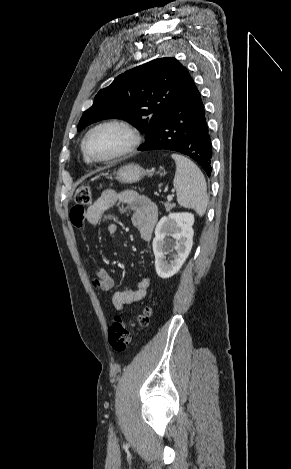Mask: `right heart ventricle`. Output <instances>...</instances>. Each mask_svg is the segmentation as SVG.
Instances as JSON below:
<instances>
[{"label":"right heart ventricle","instance_id":"1","mask_svg":"<svg viewBox=\"0 0 291 469\" xmlns=\"http://www.w3.org/2000/svg\"><path fill=\"white\" fill-rule=\"evenodd\" d=\"M84 160H85L86 162H88V160H87L85 157H84Z\"/></svg>","mask_w":291,"mask_h":469}]
</instances>
